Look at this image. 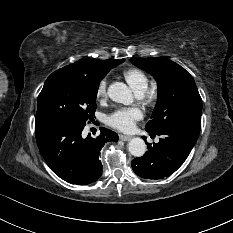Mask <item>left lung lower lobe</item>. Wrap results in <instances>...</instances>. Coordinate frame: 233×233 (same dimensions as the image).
Instances as JSON below:
<instances>
[{
  "mask_svg": "<svg viewBox=\"0 0 233 233\" xmlns=\"http://www.w3.org/2000/svg\"><path fill=\"white\" fill-rule=\"evenodd\" d=\"M200 129L201 114H193L157 133L164 138L153 145L147 143L148 151L132 160L133 171L142 178L168 177L184 163L198 139Z\"/></svg>",
  "mask_w": 233,
  "mask_h": 233,
  "instance_id": "0a47b994",
  "label": "left lung lower lobe"
}]
</instances>
